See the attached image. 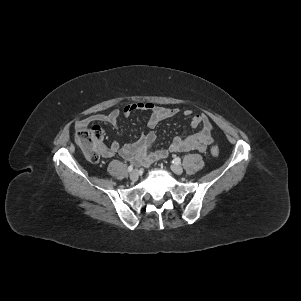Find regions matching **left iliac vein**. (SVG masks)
Returning <instances> with one entry per match:
<instances>
[{
	"instance_id": "left-iliac-vein-1",
	"label": "left iliac vein",
	"mask_w": 301,
	"mask_h": 301,
	"mask_svg": "<svg viewBox=\"0 0 301 301\" xmlns=\"http://www.w3.org/2000/svg\"><path fill=\"white\" fill-rule=\"evenodd\" d=\"M171 169L177 175H181L183 173V168L178 164H173Z\"/></svg>"
}]
</instances>
